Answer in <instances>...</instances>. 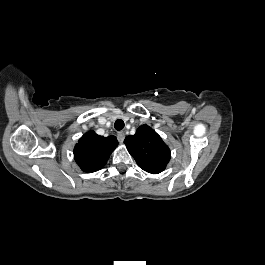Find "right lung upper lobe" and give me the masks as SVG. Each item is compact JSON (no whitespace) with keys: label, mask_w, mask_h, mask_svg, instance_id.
<instances>
[{"label":"right lung upper lobe","mask_w":265,"mask_h":265,"mask_svg":"<svg viewBox=\"0 0 265 265\" xmlns=\"http://www.w3.org/2000/svg\"><path fill=\"white\" fill-rule=\"evenodd\" d=\"M117 145L115 136L103 137L89 131L74 147L75 161L84 172L97 171L106 164Z\"/></svg>","instance_id":"cb5924a9"}]
</instances>
